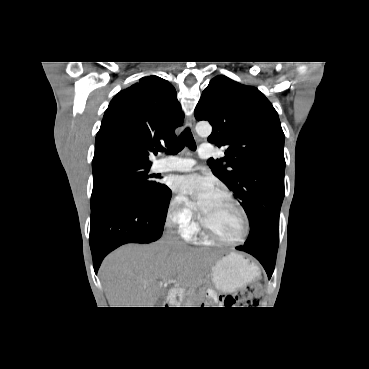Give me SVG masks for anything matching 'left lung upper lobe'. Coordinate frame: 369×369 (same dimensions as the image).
I'll list each match as a JSON object with an SVG mask.
<instances>
[{"mask_svg":"<svg viewBox=\"0 0 369 369\" xmlns=\"http://www.w3.org/2000/svg\"><path fill=\"white\" fill-rule=\"evenodd\" d=\"M195 117L210 122L208 141L225 149V157L208 164L247 213L250 233L244 245L278 248L285 159L276 110L257 88L218 75L203 91Z\"/></svg>","mask_w":369,"mask_h":369,"instance_id":"1","label":"left lung upper lobe"}]
</instances>
